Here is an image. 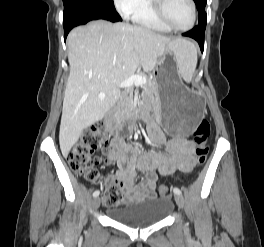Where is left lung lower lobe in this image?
<instances>
[{
    "instance_id": "left-lung-lower-lobe-1",
    "label": "left lung lower lobe",
    "mask_w": 264,
    "mask_h": 247,
    "mask_svg": "<svg viewBox=\"0 0 264 247\" xmlns=\"http://www.w3.org/2000/svg\"><path fill=\"white\" fill-rule=\"evenodd\" d=\"M206 25L198 24L191 31L183 33V36H188L195 39L200 46L201 51L204 49V33H205Z\"/></svg>"
}]
</instances>
